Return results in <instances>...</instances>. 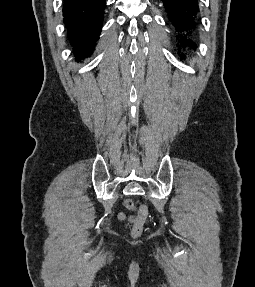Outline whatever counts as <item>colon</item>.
Masks as SVG:
<instances>
[{
    "instance_id": "obj_1",
    "label": "colon",
    "mask_w": 255,
    "mask_h": 287,
    "mask_svg": "<svg viewBox=\"0 0 255 287\" xmlns=\"http://www.w3.org/2000/svg\"><path fill=\"white\" fill-rule=\"evenodd\" d=\"M149 211L147 206L141 205L138 209L137 215L135 216V221L133 222L131 229V236L134 238L139 237L144 229V226L148 220Z\"/></svg>"
}]
</instances>
